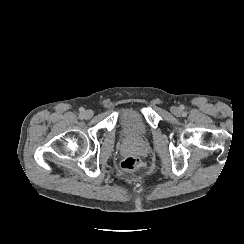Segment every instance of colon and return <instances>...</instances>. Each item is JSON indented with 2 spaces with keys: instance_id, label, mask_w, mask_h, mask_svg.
<instances>
[{
  "instance_id": "5ec220e1",
  "label": "colon",
  "mask_w": 244,
  "mask_h": 244,
  "mask_svg": "<svg viewBox=\"0 0 244 244\" xmlns=\"http://www.w3.org/2000/svg\"><path fill=\"white\" fill-rule=\"evenodd\" d=\"M120 167L128 172L139 173L145 169V162L140 157L127 156L121 160Z\"/></svg>"
}]
</instances>
